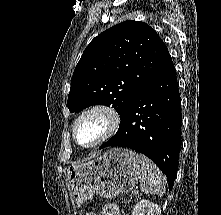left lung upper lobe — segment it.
<instances>
[{
	"mask_svg": "<svg viewBox=\"0 0 221 215\" xmlns=\"http://www.w3.org/2000/svg\"><path fill=\"white\" fill-rule=\"evenodd\" d=\"M169 58L162 39L143 22L128 20L107 29L90 42L76 65L67 102L70 112L106 105L121 118Z\"/></svg>",
	"mask_w": 221,
	"mask_h": 215,
	"instance_id": "1",
	"label": "left lung upper lobe"
}]
</instances>
